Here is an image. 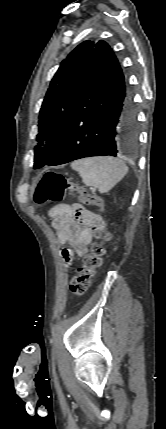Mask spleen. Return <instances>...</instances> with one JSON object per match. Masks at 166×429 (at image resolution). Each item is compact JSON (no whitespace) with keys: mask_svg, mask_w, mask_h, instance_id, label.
Returning a JSON list of instances; mask_svg holds the SVG:
<instances>
[{"mask_svg":"<svg viewBox=\"0 0 166 429\" xmlns=\"http://www.w3.org/2000/svg\"><path fill=\"white\" fill-rule=\"evenodd\" d=\"M71 168L78 172L86 186H94L100 193L111 190L128 172L122 160L109 156L76 160Z\"/></svg>","mask_w":166,"mask_h":429,"instance_id":"spleen-1","label":"spleen"}]
</instances>
